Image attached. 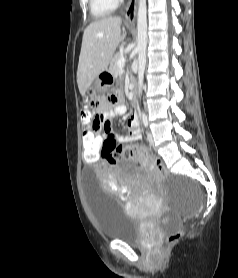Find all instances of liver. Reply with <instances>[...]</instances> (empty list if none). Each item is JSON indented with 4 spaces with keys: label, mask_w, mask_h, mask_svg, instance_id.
<instances>
[{
    "label": "liver",
    "mask_w": 238,
    "mask_h": 278,
    "mask_svg": "<svg viewBox=\"0 0 238 278\" xmlns=\"http://www.w3.org/2000/svg\"><path fill=\"white\" fill-rule=\"evenodd\" d=\"M120 17L94 21L85 29L79 56L77 83L82 96L95 78L104 72L126 33L121 35Z\"/></svg>",
    "instance_id": "6515ba94"
}]
</instances>
